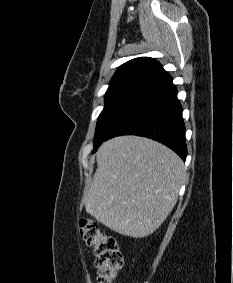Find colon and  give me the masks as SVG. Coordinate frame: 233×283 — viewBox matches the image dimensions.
<instances>
[{
  "mask_svg": "<svg viewBox=\"0 0 233 283\" xmlns=\"http://www.w3.org/2000/svg\"><path fill=\"white\" fill-rule=\"evenodd\" d=\"M80 232L84 241L93 247L95 265L98 269L97 282L113 283L118 270L123 265V257L117 241L91 219L81 220Z\"/></svg>",
  "mask_w": 233,
  "mask_h": 283,
  "instance_id": "5ec220e1",
  "label": "colon"
}]
</instances>
